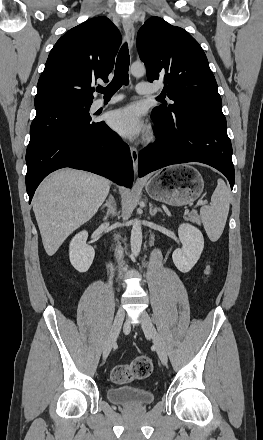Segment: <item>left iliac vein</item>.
Segmentation results:
<instances>
[{
    "label": "left iliac vein",
    "mask_w": 263,
    "mask_h": 440,
    "mask_svg": "<svg viewBox=\"0 0 263 440\" xmlns=\"http://www.w3.org/2000/svg\"><path fill=\"white\" fill-rule=\"evenodd\" d=\"M141 326L145 334L152 338L153 344L156 348L157 354L164 365H167L168 356L166 348L154 327L151 318L146 312H142L141 314Z\"/></svg>",
    "instance_id": "left-iliac-vein-1"
}]
</instances>
